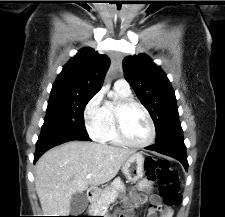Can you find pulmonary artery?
I'll list each match as a JSON object with an SVG mask.
<instances>
[{"label": "pulmonary artery", "instance_id": "e3ab8cb5", "mask_svg": "<svg viewBox=\"0 0 225 217\" xmlns=\"http://www.w3.org/2000/svg\"><path fill=\"white\" fill-rule=\"evenodd\" d=\"M115 88L124 92H131L130 85L125 79H119L115 82Z\"/></svg>", "mask_w": 225, "mask_h": 217}]
</instances>
